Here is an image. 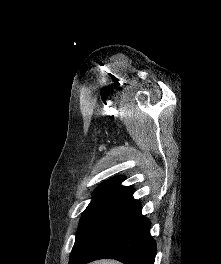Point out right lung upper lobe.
<instances>
[{"label": "right lung upper lobe", "instance_id": "1", "mask_svg": "<svg viewBox=\"0 0 221 264\" xmlns=\"http://www.w3.org/2000/svg\"><path fill=\"white\" fill-rule=\"evenodd\" d=\"M125 178L123 176H118V177H114L113 179L107 180L105 182H103L97 190H101V189H122V190H127L131 187H125V186H121V182L124 180Z\"/></svg>", "mask_w": 221, "mask_h": 264}]
</instances>
